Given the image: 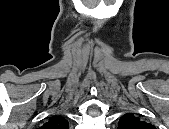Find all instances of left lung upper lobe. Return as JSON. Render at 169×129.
<instances>
[{"label": "left lung upper lobe", "instance_id": "obj_1", "mask_svg": "<svg viewBox=\"0 0 169 129\" xmlns=\"http://www.w3.org/2000/svg\"><path fill=\"white\" fill-rule=\"evenodd\" d=\"M155 127L131 113L125 114L118 123V129H154Z\"/></svg>", "mask_w": 169, "mask_h": 129}]
</instances>
